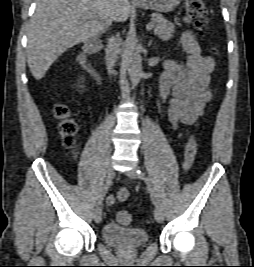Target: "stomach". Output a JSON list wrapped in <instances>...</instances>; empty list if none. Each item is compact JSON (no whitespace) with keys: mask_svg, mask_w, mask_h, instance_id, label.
I'll use <instances>...</instances> for the list:
<instances>
[{"mask_svg":"<svg viewBox=\"0 0 254 267\" xmlns=\"http://www.w3.org/2000/svg\"><path fill=\"white\" fill-rule=\"evenodd\" d=\"M181 0H139L137 6L142 9H150L160 13L173 11Z\"/></svg>","mask_w":254,"mask_h":267,"instance_id":"0dacf381","label":"stomach"}]
</instances>
